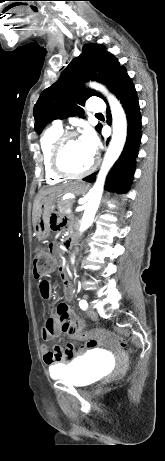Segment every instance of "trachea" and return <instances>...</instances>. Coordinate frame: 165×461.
<instances>
[{
  "label": "trachea",
  "instance_id": "obj_1",
  "mask_svg": "<svg viewBox=\"0 0 165 461\" xmlns=\"http://www.w3.org/2000/svg\"><path fill=\"white\" fill-rule=\"evenodd\" d=\"M95 116H102V114H101V113H97V114H95Z\"/></svg>",
  "mask_w": 165,
  "mask_h": 461
}]
</instances>
